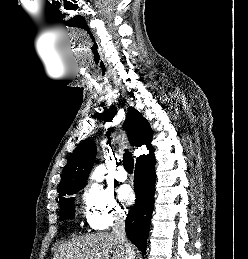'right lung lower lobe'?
Listing matches in <instances>:
<instances>
[{"mask_svg": "<svg viewBox=\"0 0 248 259\" xmlns=\"http://www.w3.org/2000/svg\"><path fill=\"white\" fill-rule=\"evenodd\" d=\"M154 155H142L136 161L134 189L136 201L126 218L128 239L145 254L155 191Z\"/></svg>", "mask_w": 248, "mask_h": 259, "instance_id": "98d812e1", "label": "right lung lower lobe"}]
</instances>
